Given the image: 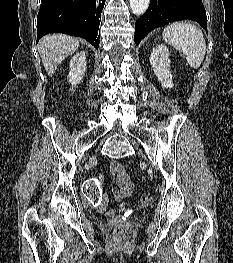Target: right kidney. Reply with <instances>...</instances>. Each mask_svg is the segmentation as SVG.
<instances>
[{
	"mask_svg": "<svg viewBox=\"0 0 233 263\" xmlns=\"http://www.w3.org/2000/svg\"><path fill=\"white\" fill-rule=\"evenodd\" d=\"M86 68V53L84 51L76 53L70 61V71L67 76L69 83L72 85V90L73 87H76L82 81Z\"/></svg>",
	"mask_w": 233,
	"mask_h": 263,
	"instance_id": "1",
	"label": "right kidney"
}]
</instances>
